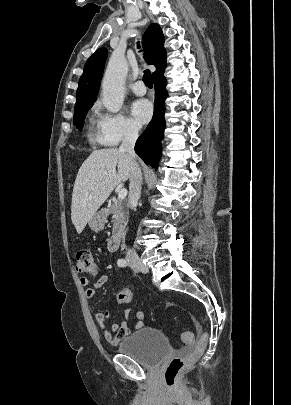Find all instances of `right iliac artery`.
Returning <instances> with one entry per match:
<instances>
[{
	"mask_svg": "<svg viewBox=\"0 0 291 405\" xmlns=\"http://www.w3.org/2000/svg\"><path fill=\"white\" fill-rule=\"evenodd\" d=\"M119 267H126L127 266V262L124 259H119L117 262Z\"/></svg>",
	"mask_w": 291,
	"mask_h": 405,
	"instance_id": "82829eb1",
	"label": "right iliac artery"
}]
</instances>
